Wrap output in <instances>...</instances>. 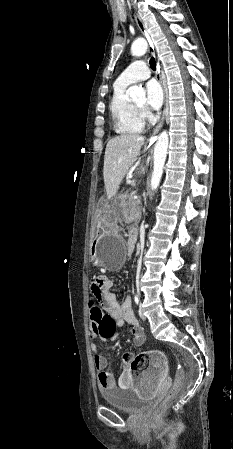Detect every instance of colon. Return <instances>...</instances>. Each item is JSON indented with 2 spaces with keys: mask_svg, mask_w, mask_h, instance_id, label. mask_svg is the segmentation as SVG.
Wrapping results in <instances>:
<instances>
[{
  "mask_svg": "<svg viewBox=\"0 0 233 449\" xmlns=\"http://www.w3.org/2000/svg\"><path fill=\"white\" fill-rule=\"evenodd\" d=\"M88 315L89 328H93V334H98L99 338H116L117 330L110 315L107 314V307H102L100 301H89L86 308ZM132 356V355H131ZM125 357L123 363L125 364L126 371L129 375H134L147 368L149 364V354L142 353L136 355L134 358ZM185 381L184 372L178 370L175 374L174 381L170 386L166 400L160 408L164 407L171 399H173L182 389ZM160 408L157 410L159 413Z\"/></svg>",
  "mask_w": 233,
  "mask_h": 449,
  "instance_id": "obj_1",
  "label": "colon"
}]
</instances>
